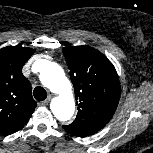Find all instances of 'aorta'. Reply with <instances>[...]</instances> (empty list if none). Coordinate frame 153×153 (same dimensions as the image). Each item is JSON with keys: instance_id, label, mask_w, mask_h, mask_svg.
I'll use <instances>...</instances> for the list:
<instances>
[{"instance_id": "aorta-1", "label": "aorta", "mask_w": 153, "mask_h": 153, "mask_svg": "<svg viewBox=\"0 0 153 153\" xmlns=\"http://www.w3.org/2000/svg\"><path fill=\"white\" fill-rule=\"evenodd\" d=\"M41 83L57 96L52 100L50 108L60 121L69 120L75 110L72 85L63 69L54 62L45 61L39 75Z\"/></svg>"}]
</instances>
